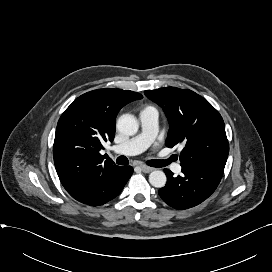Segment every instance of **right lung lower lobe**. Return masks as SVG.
Segmentation results:
<instances>
[{"instance_id":"right-lung-lower-lobe-1","label":"right lung lower lobe","mask_w":272,"mask_h":272,"mask_svg":"<svg viewBox=\"0 0 272 272\" xmlns=\"http://www.w3.org/2000/svg\"><path fill=\"white\" fill-rule=\"evenodd\" d=\"M133 173L131 166H114L102 172L81 189L69 193L75 200L90 206L107 203L120 194Z\"/></svg>"}]
</instances>
